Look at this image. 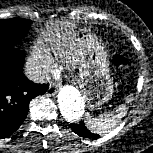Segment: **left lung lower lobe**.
<instances>
[{"label": "left lung lower lobe", "instance_id": "1", "mask_svg": "<svg viewBox=\"0 0 153 153\" xmlns=\"http://www.w3.org/2000/svg\"><path fill=\"white\" fill-rule=\"evenodd\" d=\"M71 129L74 133L78 134L81 137L88 138V139H97L100 137L98 134L90 132L83 121L78 124L71 125Z\"/></svg>", "mask_w": 153, "mask_h": 153}]
</instances>
